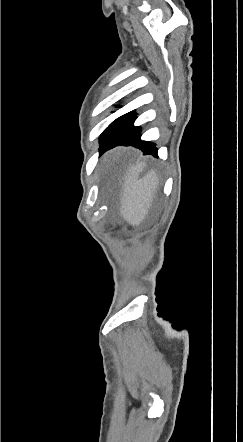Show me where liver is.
<instances>
[{
    "mask_svg": "<svg viewBox=\"0 0 243 442\" xmlns=\"http://www.w3.org/2000/svg\"><path fill=\"white\" fill-rule=\"evenodd\" d=\"M145 166V161L130 165L121 182L119 212L122 218L132 226H138L145 220L159 186V178L155 171H150L144 177L139 178Z\"/></svg>",
    "mask_w": 243,
    "mask_h": 442,
    "instance_id": "obj_1",
    "label": "liver"
}]
</instances>
